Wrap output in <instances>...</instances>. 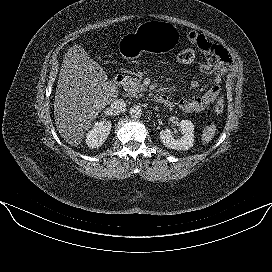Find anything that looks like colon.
<instances>
[{
	"label": "colon",
	"mask_w": 272,
	"mask_h": 272,
	"mask_svg": "<svg viewBox=\"0 0 272 272\" xmlns=\"http://www.w3.org/2000/svg\"><path fill=\"white\" fill-rule=\"evenodd\" d=\"M176 59L181 64H190L195 60V52L192 49H183L177 53ZM224 106V100L223 98H220L215 104V112L218 114L222 113Z\"/></svg>",
	"instance_id": "5ec220e1"
}]
</instances>
